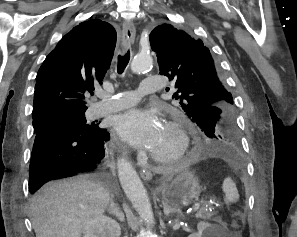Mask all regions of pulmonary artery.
Wrapping results in <instances>:
<instances>
[{"label": "pulmonary artery", "instance_id": "1", "mask_svg": "<svg viewBox=\"0 0 297 237\" xmlns=\"http://www.w3.org/2000/svg\"><path fill=\"white\" fill-rule=\"evenodd\" d=\"M164 81L160 77H145L137 90L119 93L113 97H104L98 103L92 105L94 116L114 113L136 105L144 95H151L160 90Z\"/></svg>", "mask_w": 297, "mask_h": 237}]
</instances>
